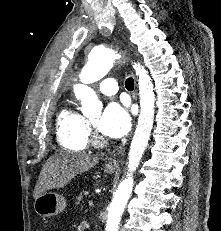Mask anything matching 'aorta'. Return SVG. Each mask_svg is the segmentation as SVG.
<instances>
[{
    "instance_id": "aorta-1",
    "label": "aorta",
    "mask_w": 221,
    "mask_h": 231,
    "mask_svg": "<svg viewBox=\"0 0 221 231\" xmlns=\"http://www.w3.org/2000/svg\"><path fill=\"white\" fill-rule=\"evenodd\" d=\"M120 59V54L109 48H94L89 53L88 63L84 66L80 74V80L83 84L74 86L75 96L82 103L83 114L94 113L102 107L96 93L87 84L102 79L113 67V64ZM133 67L138 76L140 114L130 145L128 173L126 178L120 182L110 203L105 231L119 230L122 214L133 190V173L138 168L146 150L154 123L155 94L152 80L143 66L135 63Z\"/></svg>"
}]
</instances>
